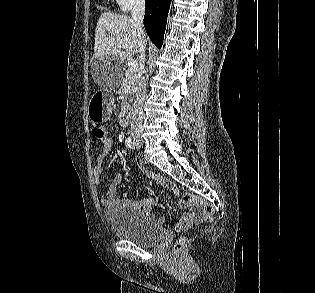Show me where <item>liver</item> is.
<instances>
[{
    "label": "liver",
    "instance_id": "1",
    "mask_svg": "<svg viewBox=\"0 0 315 293\" xmlns=\"http://www.w3.org/2000/svg\"><path fill=\"white\" fill-rule=\"evenodd\" d=\"M138 50L132 19L111 12L101 14L96 30L94 58L115 56L122 61L132 58Z\"/></svg>",
    "mask_w": 315,
    "mask_h": 293
}]
</instances>
